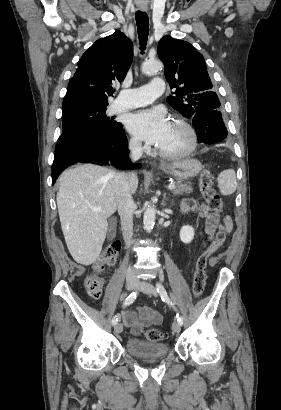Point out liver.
Segmentation results:
<instances>
[{"label": "liver", "instance_id": "liver-1", "mask_svg": "<svg viewBox=\"0 0 281 410\" xmlns=\"http://www.w3.org/2000/svg\"><path fill=\"white\" fill-rule=\"evenodd\" d=\"M115 171L93 164L68 169L59 178L57 206L62 231L73 259L90 265L99 257L105 241L107 219L116 211L113 178ZM138 177L130 173L131 194ZM93 207L102 210L92 211Z\"/></svg>", "mask_w": 281, "mask_h": 410}]
</instances>
